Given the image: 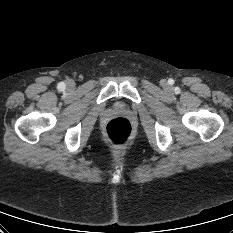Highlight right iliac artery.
Returning <instances> with one entry per match:
<instances>
[{
  "mask_svg": "<svg viewBox=\"0 0 233 233\" xmlns=\"http://www.w3.org/2000/svg\"><path fill=\"white\" fill-rule=\"evenodd\" d=\"M58 89H59V90L65 89V84H64L63 82H60V83L58 84Z\"/></svg>",
  "mask_w": 233,
  "mask_h": 233,
  "instance_id": "82829eb1",
  "label": "right iliac artery"
}]
</instances>
